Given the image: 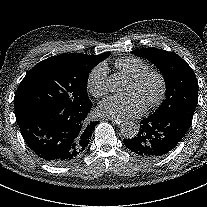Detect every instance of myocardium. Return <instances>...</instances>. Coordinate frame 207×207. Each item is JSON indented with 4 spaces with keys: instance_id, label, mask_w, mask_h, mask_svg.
<instances>
[{
    "instance_id": "myocardium-1",
    "label": "myocardium",
    "mask_w": 207,
    "mask_h": 207,
    "mask_svg": "<svg viewBox=\"0 0 207 207\" xmlns=\"http://www.w3.org/2000/svg\"><path fill=\"white\" fill-rule=\"evenodd\" d=\"M150 78H154L157 80V82L159 84V92L153 100L149 101L145 105L146 110H150V109H154V108L158 107L165 99L166 93H167L166 78H165L164 74L158 70H147V71L143 72L142 74H140L136 78L132 79L131 84L135 88H141Z\"/></svg>"
}]
</instances>
